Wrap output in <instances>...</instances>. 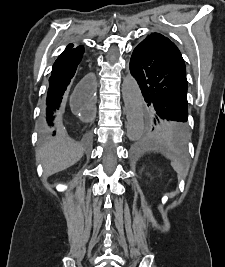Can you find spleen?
<instances>
[{
	"label": "spleen",
	"mask_w": 225,
	"mask_h": 267,
	"mask_svg": "<svg viewBox=\"0 0 225 267\" xmlns=\"http://www.w3.org/2000/svg\"><path fill=\"white\" fill-rule=\"evenodd\" d=\"M167 158H171L170 156H167ZM171 166L173 169L177 172V174L183 178H185L188 175V169L177 159H172Z\"/></svg>",
	"instance_id": "obj_1"
}]
</instances>
